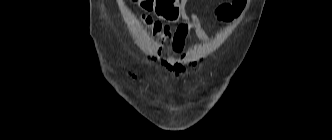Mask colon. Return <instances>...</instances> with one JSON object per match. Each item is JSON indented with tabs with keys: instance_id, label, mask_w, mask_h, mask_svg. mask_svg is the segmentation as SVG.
<instances>
[{
	"instance_id": "1",
	"label": "colon",
	"mask_w": 332,
	"mask_h": 140,
	"mask_svg": "<svg viewBox=\"0 0 332 140\" xmlns=\"http://www.w3.org/2000/svg\"><path fill=\"white\" fill-rule=\"evenodd\" d=\"M146 11H154L164 19L173 20L178 17L180 0H134ZM246 0H233L230 3L220 5L216 10L218 19L230 21L244 8ZM141 22L155 36L165 35L171 32L168 24L156 20L149 15H142Z\"/></svg>"
}]
</instances>
